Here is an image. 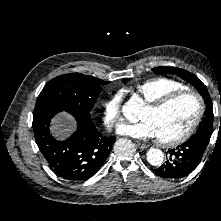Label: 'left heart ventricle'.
Instances as JSON below:
<instances>
[{
    "label": "left heart ventricle",
    "mask_w": 221,
    "mask_h": 221,
    "mask_svg": "<svg viewBox=\"0 0 221 221\" xmlns=\"http://www.w3.org/2000/svg\"><path fill=\"white\" fill-rule=\"evenodd\" d=\"M198 105L194 97L182 96L159 111L144 107L141 120L150 121L159 139L167 140L183 133L194 120Z\"/></svg>",
    "instance_id": "b2bd125f"
}]
</instances>
